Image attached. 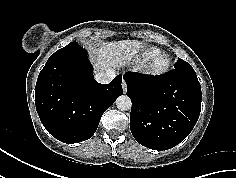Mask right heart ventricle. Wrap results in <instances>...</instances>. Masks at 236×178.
Segmentation results:
<instances>
[{
	"instance_id": "obj_1",
	"label": "right heart ventricle",
	"mask_w": 236,
	"mask_h": 178,
	"mask_svg": "<svg viewBox=\"0 0 236 178\" xmlns=\"http://www.w3.org/2000/svg\"><path fill=\"white\" fill-rule=\"evenodd\" d=\"M159 54H161V50L159 48L146 47L140 51L138 58L142 63H144L151 60L152 58H154Z\"/></svg>"
}]
</instances>
